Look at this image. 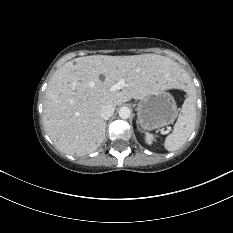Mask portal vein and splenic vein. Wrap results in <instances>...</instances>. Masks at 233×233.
Masks as SVG:
<instances>
[{
    "mask_svg": "<svg viewBox=\"0 0 233 233\" xmlns=\"http://www.w3.org/2000/svg\"><path fill=\"white\" fill-rule=\"evenodd\" d=\"M125 85H126L125 80L124 79H120L117 83H115L114 85H112L110 87V91L120 90V89L124 88Z\"/></svg>",
    "mask_w": 233,
    "mask_h": 233,
    "instance_id": "18ae733b",
    "label": "portal vein and splenic vein"
}]
</instances>
